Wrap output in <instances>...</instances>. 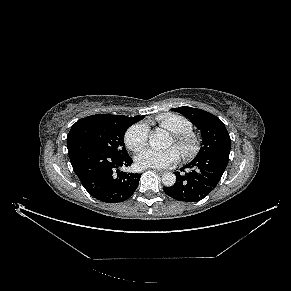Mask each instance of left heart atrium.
<instances>
[{
    "label": "left heart atrium",
    "instance_id": "obj_1",
    "mask_svg": "<svg viewBox=\"0 0 291 291\" xmlns=\"http://www.w3.org/2000/svg\"><path fill=\"white\" fill-rule=\"evenodd\" d=\"M180 153L176 147H170L164 150L145 148L136 156V162L141 168H168L176 164Z\"/></svg>",
    "mask_w": 291,
    "mask_h": 291
}]
</instances>
